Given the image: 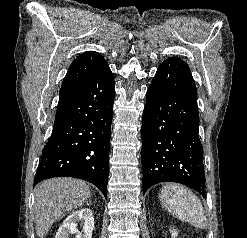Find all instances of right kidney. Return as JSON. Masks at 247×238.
<instances>
[{"label": "right kidney", "instance_id": "ca27d5eb", "mask_svg": "<svg viewBox=\"0 0 247 238\" xmlns=\"http://www.w3.org/2000/svg\"><path fill=\"white\" fill-rule=\"evenodd\" d=\"M81 222L82 232L77 229V224ZM94 228V218L92 211L88 208H83L72 212L59 227L55 238H70L76 234L75 238H91Z\"/></svg>", "mask_w": 247, "mask_h": 238}]
</instances>
